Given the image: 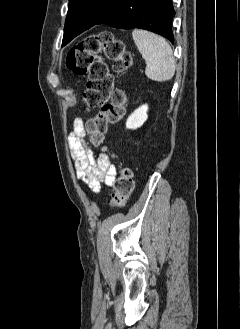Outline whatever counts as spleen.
I'll list each match as a JSON object with an SVG mask.
<instances>
[{
    "label": "spleen",
    "mask_w": 240,
    "mask_h": 329,
    "mask_svg": "<svg viewBox=\"0 0 240 329\" xmlns=\"http://www.w3.org/2000/svg\"><path fill=\"white\" fill-rule=\"evenodd\" d=\"M132 37L147 64L146 76L157 82L170 80L175 74L176 62L168 42L145 30H134Z\"/></svg>",
    "instance_id": "spleen-1"
}]
</instances>
